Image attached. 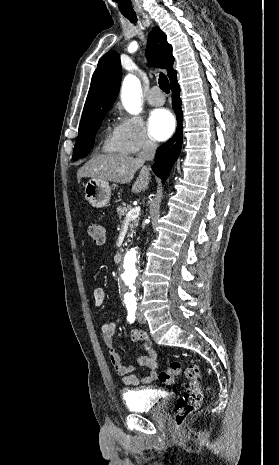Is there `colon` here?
Returning a JSON list of instances; mask_svg holds the SVG:
<instances>
[{
	"mask_svg": "<svg viewBox=\"0 0 279 465\" xmlns=\"http://www.w3.org/2000/svg\"><path fill=\"white\" fill-rule=\"evenodd\" d=\"M87 231L95 244L100 245L104 242L106 228L103 224L93 223L88 227ZM182 372H184L188 384L176 404L175 425L177 429H181L187 418L201 405L203 393L200 383L199 366L191 363L183 370L179 362L173 361L167 370L161 371L158 374V379L161 383L170 385L173 383L174 378Z\"/></svg>",
	"mask_w": 279,
	"mask_h": 465,
	"instance_id": "1",
	"label": "colon"
}]
</instances>
